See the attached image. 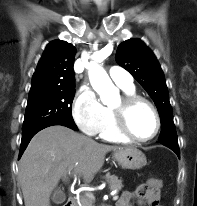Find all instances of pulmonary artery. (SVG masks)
I'll return each instance as SVG.
<instances>
[{
  "mask_svg": "<svg viewBox=\"0 0 197 206\" xmlns=\"http://www.w3.org/2000/svg\"><path fill=\"white\" fill-rule=\"evenodd\" d=\"M109 76L118 86H122V87L133 86V78L122 67L119 66L111 67L109 70Z\"/></svg>",
  "mask_w": 197,
  "mask_h": 206,
  "instance_id": "obj_1",
  "label": "pulmonary artery"
}]
</instances>
